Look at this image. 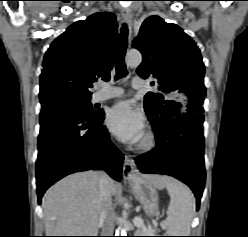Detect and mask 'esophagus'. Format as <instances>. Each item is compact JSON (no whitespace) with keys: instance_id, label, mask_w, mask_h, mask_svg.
<instances>
[{"instance_id":"34e87169","label":"esophagus","mask_w":248,"mask_h":237,"mask_svg":"<svg viewBox=\"0 0 248 237\" xmlns=\"http://www.w3.org/2000/svg\"><path fill=\"white\" fill-rule=\"evenodd\" d=\"M122 18L131 28L132 11L129 8L122 9ZM137 171L134 166L133 159L129 155H125L123 161V178L125 181H132L136 178Z\"/></svg>"}]
</instances>
